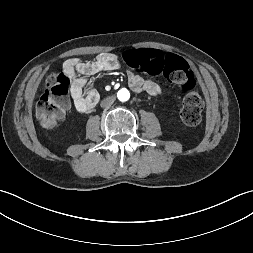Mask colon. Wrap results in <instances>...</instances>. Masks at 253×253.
Returning <instances> with one entry per match:
<instances>
[{
  "label": "colon",
  "mask_w": 253,
  "mask_h": 253,
  "mask_svg": "<svg viewBox=\"0 0 253 253\" xmlns=\"http://www.w3.org/2000/svg\"><path fill=\"white\" fill-rule=\"evenodd\" d=\"M123 66L144 76H165L187 90L181 108L182 122L196 126L202 118L204 106L201 95L195 90L196 81L187 61L161 47H132L122 57ZM70 78L64 73L50 76L46 89L36 104V116L42 126L53 127L69 107Z\"/></svg>",
  "instance_id": "5ec220e1"
}]
</instances>
